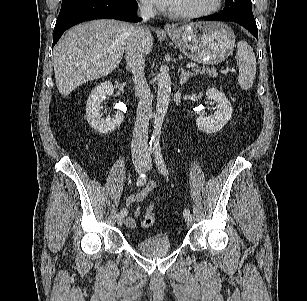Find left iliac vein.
Listing matches in <instances>:
<instances>
[{"label":"left iliac vein","instance_id":"obj_1","mask_svg":"<svg viewBox=\"0 0 307 301\" xmlns=\"http://www.w3.org/2000/svg\"><path fill=\"white\" fill-rule=\"evenodd\" d=\"M147 168L150 169L151 166H148ZM184 217H185V222H186L187 226H192V224L194 222V216L191 213H189V214L185 215Z\"/></svg>","mask_w":307,"mask_h":301}]
</instances>
